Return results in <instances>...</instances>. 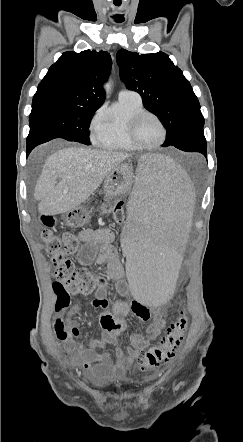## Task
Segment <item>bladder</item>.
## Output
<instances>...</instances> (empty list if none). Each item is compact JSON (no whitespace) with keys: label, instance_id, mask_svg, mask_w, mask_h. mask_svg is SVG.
<instances>
[{"label":"bladder","instance_id":"obj_1","mask_svg":"<svg viewBox=\"0 0 243 442\" xmlns=\"http://www.w3.org/2000/svg\"><path fill=\"white\" fill-rule=\"evenodd\" d=\"M117 383H120V380L114 381V385H116Z\"/></svg>","mask_w":243,"mask_h":442}]
</instances>
